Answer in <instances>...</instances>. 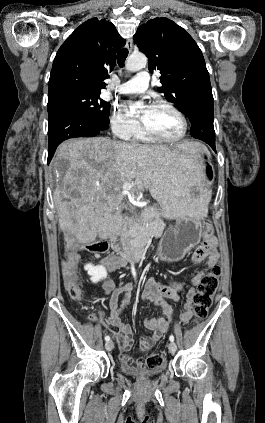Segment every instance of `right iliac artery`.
I'll return each instance as SVG.
<instances>
[{
    "label": "right iliac artery",
    "mask_w": 265,
    "mask_h": 423,
    "mask_svg": "<svg viewBox=\"0 0 265 423\" xmlns=\"http://www.w3.org/2000/svg\"><path fill=\"white\" fill-rule=\"evenodd\" d=\"M132 273H133V276L135 277L136 276V272H135L134 268H132ZM105 340L106 341H109L110 340V337L109 336H105Z\"/></svg>",
    "instance_id": "right-iliac-artery-1"
}]
</instances>
